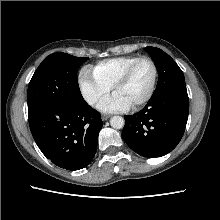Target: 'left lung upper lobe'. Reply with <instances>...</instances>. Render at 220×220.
<instances>
[{"label": "left lung upper lobe", "mask_w": 220, "mask_h": 220, "mask_svg": "<svg viewBox=\"0 0 220 220\" xmlns=\"http://www.w3.org/2000/svg\"><path fill=\"white\" fill-rule=\"evenodd\" d=\"M158 70V83L155 92L170 85L185 82L184 75L175 61L164 51L156 47H146Z\"/></svg>", "instance_id": "left-lung-upper-lobe-1"}]
</instances>
